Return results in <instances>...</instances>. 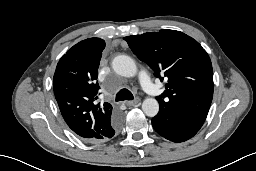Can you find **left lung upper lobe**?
I'll return each mask as SVG.
<instances>
[{
    "label": "left lung upper lobe",
    "mask_w": 256,
    "mask_h": 171,
    "mask_svg": "<svg viewBox=\"0 0 256 171\" xmlns=\"http://www.w3.org/2000/svg\"><path fill=\"white\" fill-rule=\"evenodd\" d=\"M133 53L147 63L166 90L157 97L160 111L177 113L193 129L199 130L213 97L211 60L190 36L163 29L124 37Z\"/></svg>",
    "instance_id": "left-lung-upper-lobe-1"
}]
</instances>
